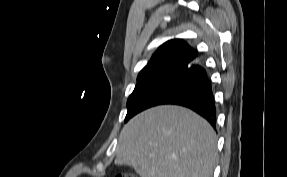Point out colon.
<instances>
[{"label": "colon", "mask_w": 287, "mask_h": 177, "mask_svg": "<svg viewBox=\"0 0 287 177\" xmlns=\"http://www.w3.org/2000/svg\"><path fill=\"white\" fill-rule=\"evenodd\" d=\"M116 177H136V176L132 174H118Z\"/></svg>", "instance_id": "colon-1"}]
</instances>
